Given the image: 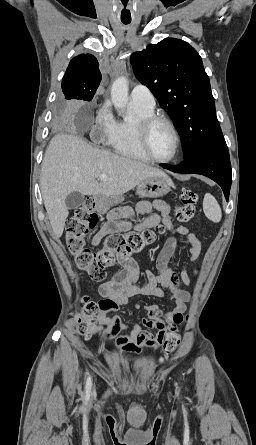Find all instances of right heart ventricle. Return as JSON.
I'll use <instances>...</instances> for the list:
<instances>
[{"label": "right heart ventricle", "instance_id": "1", "mask_svg": "<svg viewBox=\"0 0 256 445\" xmlns=\"http://www.w3.org/2000/svg\"><path fill=\"white\" fill-rule=\"evenodd\" d=\"M135 121H118L115 124L108 144L118 154L136 160L147 161L149 158L142 151L136 134L135 124L140 118L153 115V109H143L133 105Z\"/></svg>", "mask_w": 256, "mask_h": 445}]
</instances>
